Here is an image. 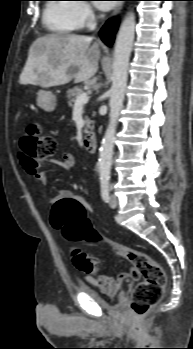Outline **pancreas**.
<instances>
[{
	"label": "pancreas",
	"instance_id": "obj_1",
	"mask_svg": "<svg viewBox=\"0 0 193 349\" xmlns=\"http://www.w3.org/2000/svg\"><path fill=\"white\" fill-rule=\"evenodd\" d=\"M84 93V89L81 87H74L67 91V103L69 107H72L76 101L78 95ZM91 121L86 117L85 118V128L84 133H88V129L90 128Z\"/></svg>",
	"mask_w": 193,
	"mask_h": 349
}]
</instances>
